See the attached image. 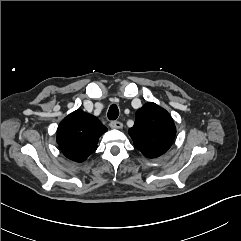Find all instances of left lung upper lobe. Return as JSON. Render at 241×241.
<instances>
[{"label": "left lung upper lobe", "mask_w": 241, "mask_h": 241, "mask_svg": "<svg viewBox=\"0 0 241 241\" xmlns=\"http://www.w3.org/2000/svg\"><path fill=\"white\" fill-rule=\"evenodd\" d=\"M135 117L134 126L128 131L134 146L147 158L164 154L176 134L170 114L157 104L148 102L136 112Z\"/></svg>", "instance_id": "1"}]
</instances>
